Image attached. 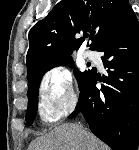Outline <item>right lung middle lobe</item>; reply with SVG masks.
<instances>
[{
    "label": "right lung middle lobe",
    "instance_id": "1",
    "mask_svg": "<svg viewBox=\"0 0 139 150\" xmlns=\"http://www.w3.org/2000/svg\"><path fill=\"white\" fill-rule=\"evenodd\" d=\"M61 65H68V66H73V61L71 59V56L65 57L58 59L56 61H53L44 67L40 68L37 72L31 76L28 81H29V87H28V108L26 112V122L28 125H31L32 122L35 119L36 112H37V106H38V91H39V85L41 82V79L45 72L48 70L52 69L53 67L56 66H61ZM94 71V68L92 70L80 72V71H75V76L78 80V83L81 84L84 82Z\"/></svg>",
    "mask_w": 139,
    "mask_h": 150
}]
</instances>
